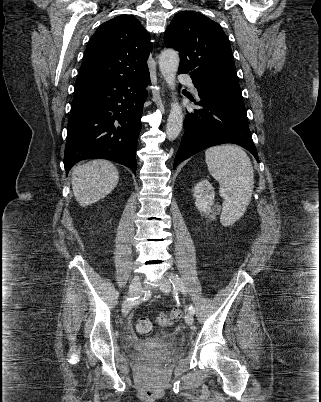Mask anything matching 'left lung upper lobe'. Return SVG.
Here are the masks:
<instances>
[{
  "instance_id": "1",
  "label": "left lung upper lobe",
  "mask_w": 321,
  "mask_h": 402,
  "mask_svg": "<svg viewBox=\"0 0 321 402\" xmlns=\"http://www.w3.org/2000/svg\"><path fill=\"white\" fill-rule=\"evenodd\" d=\"M164 40L167 47L179 52V73H188L194 85H239L229 40L208 17L193 11L179 12L167 27Z\"/></svg>"
}]
</instances>
